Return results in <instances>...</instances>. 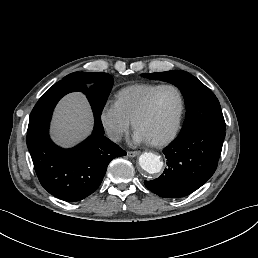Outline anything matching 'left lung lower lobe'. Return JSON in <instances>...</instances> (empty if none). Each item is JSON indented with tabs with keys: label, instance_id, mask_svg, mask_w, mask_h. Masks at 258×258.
I'll use <instances>...</instances> for the list:
<instances>
[{
	"label": "left lung lower lobe",
	"instance_id": "left-lung-lower-lobe-1",
	"mask_svg": "<svg viewBox=\"0 0 258 258\" xmlns=\"http://www.w3.org/2000/svg\"><path fill=\"white\" fill-rule=\"evenodd\" d=\"M224 138L225 129L217 127L177 137L163 150L168 168L159 178L144 181L145 186L164 198H182L196 191L214 174Z\"/></svg>",
	"mask_w": 258,
	"mask_h": 258
}]
</instances>
